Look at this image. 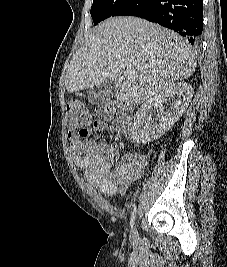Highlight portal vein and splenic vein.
I'll use <instances>...</instances> for the list:
<instances>
[{
    "instance_id": "portal-vein-and-splenic-vein-1",
    "label": "portal vein and splenic vein",
    "mask_w": 227,
    "mask_h": 267,
    "mask_svg": "<svg viewBox=\"0 0 227 267\" xmlns=\"http://www.w3.org/2000/svg\"><path fill=\"white\" fill-rule=\"evenodd\" d=\"M124 75L127 76V77H130V78H136L135 72L132 71V70H126L124 72Z\"/></svg>"
}]
</instances>
